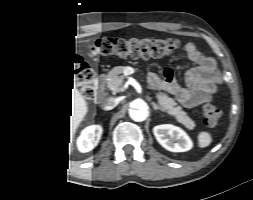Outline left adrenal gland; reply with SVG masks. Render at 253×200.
I'll list each match as a JSON object with an SVG mask.
<instances>
[{
    "label": "left adrenal gland",
    "instance_id": "obj_1",
    "mask_svg": "<svg viewBox=\"0 0 253 200\" xmlns=\"http://www.w3.org/2000/svg\"><path fill=\"white\" fill-rule=\"evenodd\" d=\"M153 107L155 110H159L160 108L158 107V105L156 103L153 102Z\"/></svg>",
    "mask_w": 253,
    "mask_h": 200
}]
</instances>
